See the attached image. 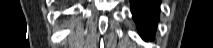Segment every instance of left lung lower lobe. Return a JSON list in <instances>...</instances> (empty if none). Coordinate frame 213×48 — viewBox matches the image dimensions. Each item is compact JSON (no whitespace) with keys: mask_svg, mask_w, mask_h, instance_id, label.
<instances>
[{"mask_svg":"<svg viewBox=\"0 0 213 48\" xmlns=\"http://www.w3.org/2000/svg\"><path fill=\"white\" fill-rule=\"evenodd\" d=\"M160 0H131L133 19L139 27L143 39L154 38L157 22L159 20Z\"/></svg>","mask_w":213,"mask_h":48,"instance_id":"obj_1","label":"left lung lower lobe"}]
</instances>
